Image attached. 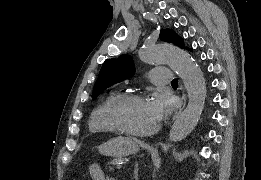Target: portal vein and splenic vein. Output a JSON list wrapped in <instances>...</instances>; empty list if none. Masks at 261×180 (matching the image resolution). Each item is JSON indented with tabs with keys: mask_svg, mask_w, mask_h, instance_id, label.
Segmentation results:
<instances>
[{
	"mask_svg": "<svg viewBox=\"0 0 261 180\" xmlns=\"http://www.w3.org/2000/svg\"><path fill=\"white\" fill-rule=\"evenodd\" d=\"M113 166L115 167L116 170H123L124 169V166L120 165L119 162H114Z\"/></svg>",
	"mask_w": 261,
	"mask_h": 180,
	"instance_id": "18ae733b",
	"label": "portal vein and splenic vein"
}]
</instances>
